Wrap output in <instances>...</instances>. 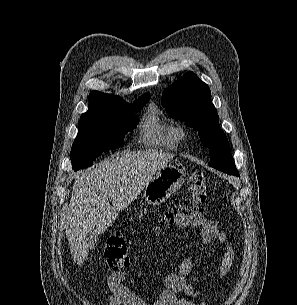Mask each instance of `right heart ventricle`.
<instances>
[{
    "instance_id": "e07e8e85",
    "label": "right heart ventricle",
    "mask_w": 297,
    "mask_h": 305,
    "mask_svg": "<svg viewBox=\"0 0 297 305\" xmlns=\"http://www.w3.org/2000/svg\"><path fill=\"white\" fill-rule=\"evenodd\" d=\"M140 140L148 147L174 149L179 141L177 128L164 121L155 108L144 116Z\"/></svg>"
}]
</instances>
